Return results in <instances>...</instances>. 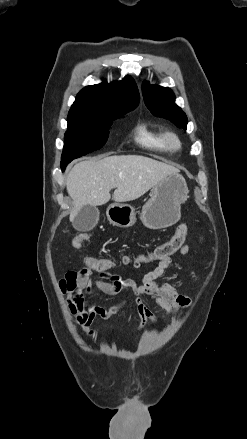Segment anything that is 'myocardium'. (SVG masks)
<instances>
[{
	"mask_svg": "<svg viewBox=\"0 0 247 439\" xmlns=\"http://www.w3.org/2000/svg\"><path fill=\"white\" fill-rule=\"evenodd\" d=\"M165 142L169 150L177 151L181 148L182 143L179 137L173 132L165 133Z\"/></svg>",
	"mask_w": 247,
	"mask_h": 439,
	"instance_id": "1",
	"label": "myocardium"
}]
</instances>
